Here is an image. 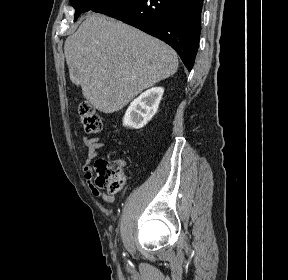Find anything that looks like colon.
Returning a JSON list of instances; mask_svg holds the SVG:
<instances>
[{
    "mask_svg": "<svg viewBox=\"0 0 288 280\" xmlns=\"http://www.w3.org/2000/svg\"><path fill=\"white\" fill-rule=\"evenodd\" d=\"M79 119L89 134H98L102 129V122L92 104L83 101L78 109ZM123 164L120 160L99 159L95 162V185L106 188L110 194L119 192L124 183Z\"/></svg>",
    "mask_w": 288,
    "mask_h": 280,
    "instance_id": "5ec220e1",
    "label": "colon"
}]
</instances>
